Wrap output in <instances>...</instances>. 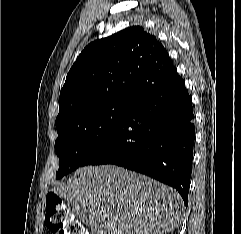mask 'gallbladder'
<instances>
[{"label":"gallbladder","instance_id":"bac80fb5","mask_svg":"<svg viewBox=\"0 0 241 234\" xmlns=\"http://www.w3.org/2000/svg\"><path fill=\"white\" fill-rule=\"evenodd\" d=\"M72 212H73L77 217H79V218L82 220V213H81V211H79V213H76L75 209L72 208Z\"/></svg>","mask_w":241,"mask_h":234}]
</instances>
